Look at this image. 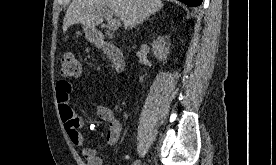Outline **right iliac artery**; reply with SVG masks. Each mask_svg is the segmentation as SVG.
<instances>
[{
	"instance_id": "82829eb1",
	"label": "right iliac artery",
	"mask_w": 276,
	"mask_h": 165,
	"mask_svg": "<svg viewBox=\"0 0 276 165\" xmlns=\"http://www.w3.org/2000/svg\"><path fill=\"white\" fill-rule=\"evenodd\" d=\"M133 165H139V161H138V160L135 161V162L133 163Z\"/></svg>"
}]
</instances>
